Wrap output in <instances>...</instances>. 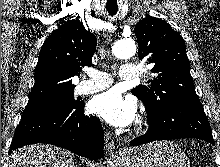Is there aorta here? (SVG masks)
I'll list each match as a JSON object with an SVG mask.
<instances>
[{
	"label": "aorta",
	"instance_id": "obj_1",
	"mask_svg": "<svg viewBox=\"0 0 220 167\" xmlns=\"http://www.w3.org/2000/svg\"><path fill=\"white\" fill-rule=\"evenodd\" d=\"M112 52L118 59H128L136 52V45L132 39H123L115 42Z\"/></svg>",
	"mask_w": 220,
	"mask_h": 167
}]
</instances>
